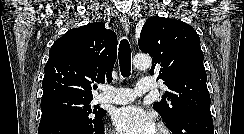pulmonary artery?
<instances>
[{"label":"pulmonary artery","instance_id":"e3ab8cb5","mask_svg":"<svg viewBox=\"0 0 244 134\" xmlns=\"http://www.w3.org/2000/svg\"><path fill=\"white\" fill-rule=\"evenodd\" d=\"M155 88L156 86L151 79L143 78L137 83L135 89L105 86L98 100L111 104H127L132 102L136 97L151 92Z\"/></svg>","mask_w":244,"mask_h":134}]
</instances>
